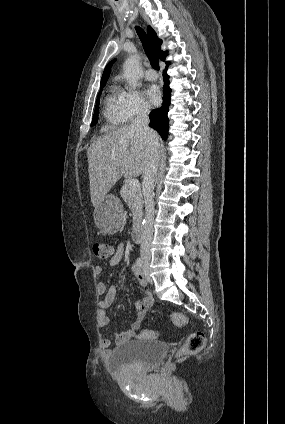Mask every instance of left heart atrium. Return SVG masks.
Masks as SVG:
<instances>
[{
	"instance_id": "39dd6f15",
	"label": "left heart atrium",
	"mask_w": 285,
	"mask_h": 424,
	"mask_svg": "<svg viewBox=\"0 0 285 424\" xmlns=\"http://www.w3.org/2000/svg\"><path fill=\"white\" fill-rule=\"evenodd\" d=\"M146 94L149 98V100L154 104L157 105L160 103L161 95L159 88L156 85H151L147 88Z\"/></svg>"
}]
</instances>
